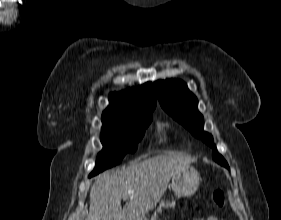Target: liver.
I'll return each mask as SVG.
<instances>
[{
	"mask_svg": "<svg viewBox=\"0 0 281 220\" xmlns=\"http://www.w3.org/2000/svg\"><path fill=\"white\" fill-rule=\"evenodd\" d=\"M192 161L170 152L99 174L90 189L87 220H144L164 195L174 173ZM124 198L129 201L122 208Z\"/></svg>",
	"mask_w": 281,
	"mask_h": 220,
	"instance_id": "obj_1",
	"label": "liver"
}]
</instances>
